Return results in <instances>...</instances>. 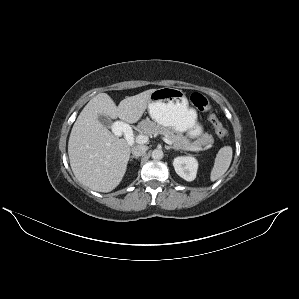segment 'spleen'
<instances>
[{
  "label": "spleen",
  "instance_id": "spleen-1",
  "mask_svg": "<svg viewBox=\"0 0 299 299\" xmlns=\"http://www.w3.org/2000/svg\"><path fill=\"white\" fill-rule=\"evenodd\" d=\"M232 147L224 146L218 151L210 173L211 181L219 179L229 168L232 160Z\"/></svg>",
  "mask_w": 299,
  "mask_h": 299
}]
</instances>
